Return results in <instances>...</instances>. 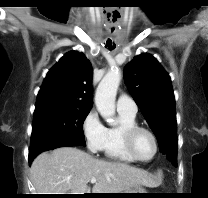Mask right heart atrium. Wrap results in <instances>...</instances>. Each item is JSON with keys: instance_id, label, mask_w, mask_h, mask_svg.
Segmentation results:
<instances>
[{"instance_id": "d8ad5b80", "label": "right heart atrium", "mask_w": 208, "mask_h": 198, "mask_svg": "<svg viewBox=\"0 0 208 198\" xmlns=\"http://www.w3.org/2000/svg\"><path fill=\"white\" fill-rule=\"evenodd\" d=\"M82 131L90 152L98 153L103 150L106 127L94 109L90 110L83 119Z\"/></svg>"}]
</instances>
